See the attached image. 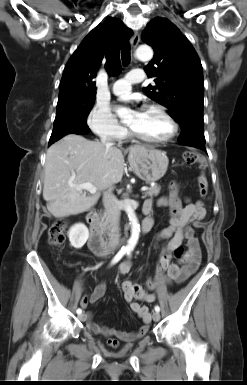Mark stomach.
I'll use <instances>...</instances> for the list:
<instances>
[{
    "instance_id": "1",
    "label": "stomach",
    "mask_w": 247,
    "mask_h": 385,
    "mask_svg": "<svg viewBox=\"0 0 247 385\" xmlns=\"http://www.w3.org/2000/svg\"><path fill=\"white\" fill-rule=\"evenodd\" d=\"M128 161L135 175L146 183L156 182L162 178L169 163L165 152L143 146L132 147Z\"/></svg>"
}]
</instances>
